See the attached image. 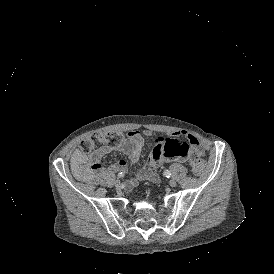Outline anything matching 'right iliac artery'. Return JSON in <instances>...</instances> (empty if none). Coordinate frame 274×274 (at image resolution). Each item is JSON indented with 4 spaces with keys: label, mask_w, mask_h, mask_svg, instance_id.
Instances as JSON below:
<instances>
[{
    "label": "right iliac artery",
    "mask_w": 274,
    "mask_h": 274,
    "mask_svg": "<svg viewBox=\"0 0 274 274\" xmlns=\"http://www.w3.org/2000/svg\"><path fill=\"white\" fill-rule=\"evenodd\" d=\"M124 176V173L123 172H120L119 174H118V177L119 178H121V177H123Z\"/></svg>",
    "instance_id": "right-iliac-artery-1"
}]
</instances>
